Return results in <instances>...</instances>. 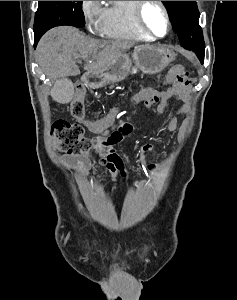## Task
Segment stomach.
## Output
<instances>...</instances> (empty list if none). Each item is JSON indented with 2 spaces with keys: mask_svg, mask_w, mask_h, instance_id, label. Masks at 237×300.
I'll use <instances>...</instances> for the list:
<instances>
[{
  "mask_svg": "<svg viewBox=\"0 0 237 300\" xmlns=\"http://www.w3.org/2000/svg\"><path fill=\"white\" fill-rule=\"evenodd\" d=\"M176 53L165 49V47H153V45H138L132 53L133 63L148 75L161 73L169 63L176 59ZM132 61L129 55H118L112 65H107L104 69H99L96 73L98 85L103 87L107 83H120L124 81L130 71Z\"/></svg>",
  "mask_w": 237,
  "mask_h": 300,
  "instance_id": "stomach-1",
  "label": "stomach"
}]
</instances>
